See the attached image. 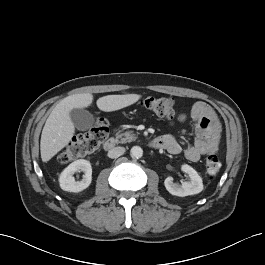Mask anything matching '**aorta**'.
Instances as JSON below:
<instances>
[{
  "instance_id": "762f6f07",
  "label": "aorta",
  "mask_w": 265,
  "mask_h": 265,
  "mask_svg": "<svg viewBox=\"0 0 265 265\" xmlns=\"http://www.w3.org/2000/svg\"><path fill=\"white\" fill-rule=\"evenodd\" d=\"M130 155L133 158H141L143 156V149L140 146H133L130 150Z\"/></svg>"
}]
</instances>
